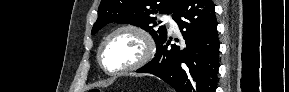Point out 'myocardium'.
<instances>
[{"label":"myocardium","instance_id":"1","mask_svg":"<svg viewBox=\"0 0 289 92\" xmlns=\"http://www.w3.org/2000/svg\"><path fill=\"white\" fill-rule=\"evenodd\" d=\"M122 32L132 33L140 39L142 46H143L142 54H141L140 58L135 63H133V64H131L125 68L118 69V70H108L104 66L103 61H102L103 50H104L106 44L110 41V39L112 37H114L115 35L122 33ZM155 52H156L155 41H154L153 37L151 36V34L145 28H143L139 25H135V24H125V25H121V26L115 28L114 30H112L103 39V41L101 42V44L98 48V51H97V61H98L100 68L105 73H107L109 75H121V74L135 71V70L140 69L141 67L145 66L147 63H149L152 60V58L155 55Z\"/></svg>","mask_w":289,"mask_h":92}]
</instances>
